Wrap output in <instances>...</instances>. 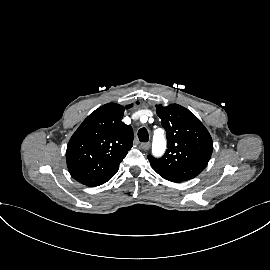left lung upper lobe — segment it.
<instances>
[{
    "instance_id": "5c2ea615",
    "label": "left lung upper lobe",
    "mask_w": 270,
    "mask_h": 270,
    "mask_svg": "<svg viewBox=\"0 0 270 270\" xmlns=\"http://www.w3.org/2000/svg\"><path fill=\"white\" fill-rule=\"evenodd\" d=\"M167 132L168 147L161 158L148 156L152 168L162 177L187 181L200 174L213 151L212 138L199 119L178 104L156 105Z\"/></svg>"
}]
</instances>
